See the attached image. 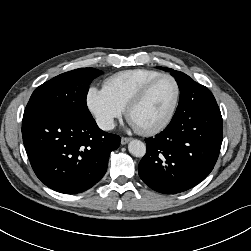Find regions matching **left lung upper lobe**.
I'll return each instance as SVG.
<instances>
[{
  "label": "left lung upper lobe",
  "instance_id": "left-lung-upper-lobe-1",
  "mask_svg": "<svg viewBox=\"0 0 251 251\" xmlns=\"http://www.w3.org/2000/svg\"><path fill=\"white\" fill-rule=\"evenodd\" d=\"M158 68H160L164 71L170 72L171 75L175 77L177 84L179 86L180 95L184 92L193 91L194 88L200 86V84L196 83L188 75H186L182 72L175 71L173 69L165 68V67H158Z\"/></svg>",
  "mask_w": 251,
  "mask_h": 251
}]
</instances>
